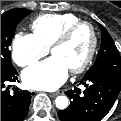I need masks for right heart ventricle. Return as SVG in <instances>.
Returning a JSON list of instances; mask_svg holds the SVG:
<instances>
[{
  "label": "right heart ventricle",
  "instance_id": "right-heart-ventricle-1",
  "mask_svg": "<svg viewBox=\"0 0 121 121\" xmlns=\"http://www.w3.org/2000/svg\"><path fill=\"white\" fill-rule=\"evenodd\" d=\"M81 21L72 13L45 14L37 17L31 24L33 34L47 48L70 25Z\"/></svg>",
  "mask_w": 121,
  "mask_h": 121
}]
</instances>
